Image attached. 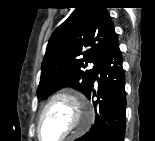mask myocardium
<instances>
[{
	"label": "myocardium",
	"instance_id": "obj_1",
	"mask_svg": "<svg viewBox=\"0 0 155 141\" xmlns=\"http://www.w3.org/2000/svg\"><path fill=\"white\" fill-rule=\"evenodd\" d=\"M64 101L71 105L73 110V127L62 135L57 141H65L66 139L76 135L89 126L92 121V112L86 102L79 96L69 92H58L50 96L42 105L36 122L37 137L44 140L41 135V122L46 111L56 102Z\"/></svg>",
	"mask_w": 155,
	"mask_h": 141
}]
</instances>
